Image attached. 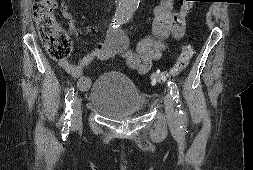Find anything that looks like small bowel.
<instances>
[{
  "instance_id": "c3829d8e",
  "label": "small bowel",
  "mask_w": 253,
  "mask_h": 170,
  "mask_svg": "<svg viewBox=\"0 0 253 170\" xmlns=\"http://www.w3.org/2000/svg\"><path fill=\"white\" fill-rule=\"evenodd\" d=\"M174 2L175 0H162L161 4L155 8L152 34L139 42L136 51L128 49L118 50L112 44L100 41L91 47L90 51L78 63L70 60H61L58 62L60 67L76 80L78 88L82 91L87 90L91 83L90 79L83 75L84 70L95 59L105 60L116 53H120L128 66L138 74H148L151 70L152 62L162 58L164 50L163 40L168 37L179 39L184 34L185 16L181 11L176 12L174 10ZM61 14L68 21L70 33L79 37L81 31L76 26L73 12L68 3L63 2L61 4ZM88 31L93 33L95 29L89 27ZM86 46L89 47V44L86 43Z\"/></svg>"
}]
</instances>
